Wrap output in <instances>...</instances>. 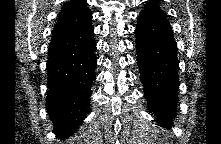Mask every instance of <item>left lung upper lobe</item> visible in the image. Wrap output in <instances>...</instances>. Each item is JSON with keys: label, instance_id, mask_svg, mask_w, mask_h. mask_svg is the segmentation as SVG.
Instances as JSON below:
<instances>
[{"label": "left lung upper lobe", "instance_id": "obj_1", "mask_svg": "<svg viewBox=\"0 0 221 144\" xmlns=\"http://www.w3.org/2000/svg\"><path fill=\"white\" fill-rule=\"evenodd\" d=\"M152 15L165 18L163 11L160 10L159 4L156 1H150L144 6V10L140 15Z\"/></svg>", "mask_w": 221, "mask_h": 144}]
</instances>
